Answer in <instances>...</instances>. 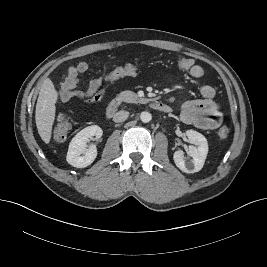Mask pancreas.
I'll use <instances>...</instances> for the list:
<instances>
[{
	"instance_id": "1",
	"label": "pancreas",
	"mask_w": 267,
	"mask_h": 267,
	"mask_svg": "<svg viewBox=\"0 0 267 267\" xmlns=\"http://www.w3.org/2000/svg\"><path fill=\"white\" fill-rule=\"evenodd\" d=\"M138 100H140L138 95L129 90L120 92L118 96L116 97V101L120 103L121 102L133 103V102H137Z\"/></svg>"
}]
</instances>
